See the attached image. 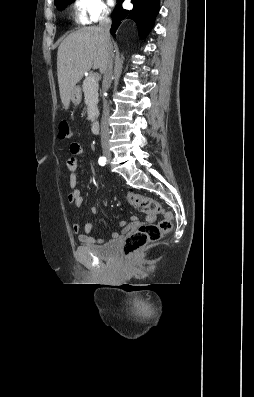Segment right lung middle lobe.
Listing matches in <instances>:
<instances>
[{
    "label": "right lung middle lobe",
    "mask_w": 254,
    "mask_h": 397,
    "mask_svg": "<svg viewBox=\"0 0 254 397\" xmlns=\"http://www.w3.org/2000/svg\"><path fill=\"white\" fill-rule=\"evenodd\" d=\"M74 0H56L55 5L59 10L64 9L68 4L72 3Z\"/></svg>",
    "instance_id": "1"
}]
</instances>
